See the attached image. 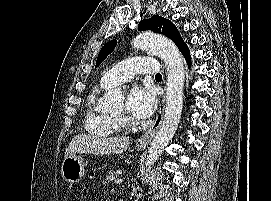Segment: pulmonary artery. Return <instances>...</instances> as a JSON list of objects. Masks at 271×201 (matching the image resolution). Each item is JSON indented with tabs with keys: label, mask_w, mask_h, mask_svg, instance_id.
Segmentation results:
<instances>
[{
	"label": "pulmonary artery",
	"mask_w": 271,
	"mask_h": 201,
	"mask_svg": "<svg viewBox=\"0 0 271 201\" xmlns=\"http://www.w3.org/2000/svg\"><path fill=\"white\" fill-rule=\"evenodd\" d=\"M158 71L159 65L153 57L128 58L108 70L101 84L105 87L116 86L131 80L136 74H157Z\"/></svg>",
	"instance_id": "e3ab8cb5"
}]
</instances>
